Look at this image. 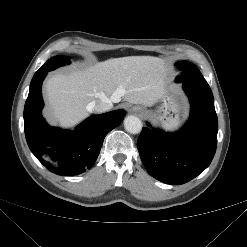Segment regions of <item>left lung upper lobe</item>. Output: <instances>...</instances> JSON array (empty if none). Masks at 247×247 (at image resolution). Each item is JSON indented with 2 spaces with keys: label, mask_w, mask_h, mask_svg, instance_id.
I'll use <instances>...</instances> for the list:
<instances>
[{
  "label": "left lung upper lobe",
  "mask_w": 247,
  "mask_h": 247,
  "mask_svg": "<svg viewBox=\"0 0 247 247\" xmlns=\"http://www.w3.org/2000/svg\"><path fill=\"white\" fill-rule=\"evenodd\" d=\"M175 66L182 72L180 76H177L176 81H206L200 71L190 62H177Z\"/></svg>",
  "instance_id": "left-lung-upper-lobe-1"
}]
</instances>
